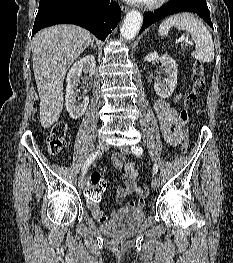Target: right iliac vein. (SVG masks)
Instances as JSON below:
<instances>
[{
    "instance_id": "1",
    "label": "right iliac vein",
    "mask_w": 233,
    "mask_h": 263,
    "mask_svg": "<svg viewBox=\"0 0 233 263\" xmlns=\"http://www.w3.org/2000/svg\"><path fill=\"white\" fill-rule=\"evenodd\" d=\"M108 148V144L104 141V140H99L96 144V150L97 151H104ZM86 184L85 181V176L84 175H80L79 179H78V185L80 188H84Z\"/></svg>"
}]
</instances>
